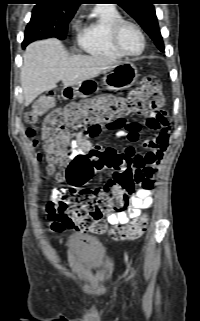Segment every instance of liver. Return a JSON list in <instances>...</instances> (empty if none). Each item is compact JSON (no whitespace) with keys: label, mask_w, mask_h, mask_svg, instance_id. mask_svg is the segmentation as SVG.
<instances>
[{"label":"liver","mask_w":200,"mask_h":321,"mask_svg":"<svg viewBox=\"0 0 200 321\" xmlns=\"http://www.w3.org/2000/svg\"><path fill=\"white\" fill-rule=\"evenodd\" d=\"M121 63L110 57L69 56L57 39H47L30 44L23 55L21 86L25 105L32 103L40 94L57 87L74 86L97 77L113 65Z\"/></svg>","instance_id":"1"}]
</instances>
